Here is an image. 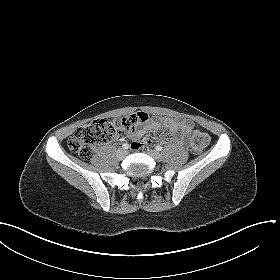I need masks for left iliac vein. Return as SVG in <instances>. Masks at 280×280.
Listing matches in <instances>:
<instances>
[{
  "label": "left iliac vein",
  "instance_id": "left-iliac-vein-1",
  "mask_svg": "<svg viewBox=\"0 0 280 280\" xmlns=\"http://www.w3.org/2000/svg\"><path fill=\"white\" fill-rule=\"evenodd\" d=\"M148 154L152 156L156 161L162 160L161 154L155 150H148Z\"/></svg>",
  "mask_w": 280,
  "mask_h": 280
}]
</instances>
